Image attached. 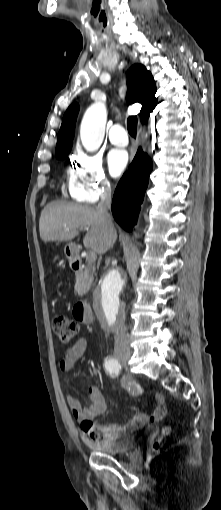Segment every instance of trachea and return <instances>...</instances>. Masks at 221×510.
<instances>
[{"mask_svg":"<svg viewBox=\"0 0 221 510\" xmlns=\"http://www.w3.org/2000/svg\"><path fill=\"white\" fill-rule=\"evenodd\" d=\"M127 129L129 134L136 138L137 133V117L136 116H130L127 119Z\"/></svg>","mask_w":221,"mask_h":510,"instance_id":"1","label":"trachea"}]
</instances>
